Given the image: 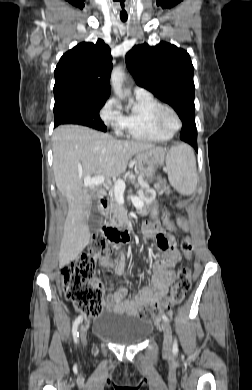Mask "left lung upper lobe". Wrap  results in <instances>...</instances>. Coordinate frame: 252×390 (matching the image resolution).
Listing matches in <instances>:
<instances>
[{
	"label": "left lung upper lobe",
	"mask_w": 252,
	"mask_h": 390,
	"mask_svg": "<svg viewBox=\"0 0 252 390\" xmlns=\"http://www.w3.org/2000/svg\"><path fill=\"white\" fill-rule=\"evenodd\" d=\"M126 64L136 83L171 105L180 119L194 120L193 65L189 54L173 44L134 46Z\"/></svg>",
	"instance_id": "1"
}]
</instances>
